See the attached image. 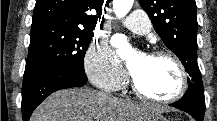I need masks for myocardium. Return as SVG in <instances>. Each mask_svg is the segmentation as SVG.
<instances>
[{"instance_id":"f54148a6","label":"myocardium","mask_w":217,"mask_h":121,"mask_svg":"<svg viewBox=\"0 0 217 121\" xmlns=\"http://www.w3.org/2000/svg\"><path fill=\"white\" fill-rule=\"evenodd\" d=\"M149 57L152 58H166L170 60L173 65L175 66L177 73H178V86L176 90L166 97H156L151 94H148L144 92L139 85L137 84L135 78L131 76V87L134 91V93L140 97L141 99L153 103H159V104H170L177 100H179L183 95L186 93L188 89V75L186 68L182 61L172 52L166 51V50H157L152 52Z\"/></svg>"}]
</instances>
